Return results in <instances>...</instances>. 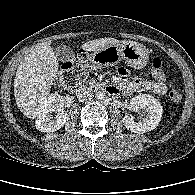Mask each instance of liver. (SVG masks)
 I'll return each mask as SVG.
<instances>
[{"label": "liver", "mask_w": 195, "mask_h": 195, "mask_svg": "<svg viewBox=\"0 0 195 195\" xmlns=\"http://www.w3.org/2000/svg\"><path fill=\"white\" fill-rule=\"evenodd\" d=\"M120 42L122 41L115 38H99L86 42L81 47L86 52H95ZM58 67L51 41L35 45L20 62L14 79V96L24 116L30 119L37 117L38 107L43 99L49 96Z\"/></svg>", "instance_id": "obj_1"}]
</instances>
